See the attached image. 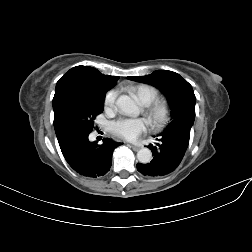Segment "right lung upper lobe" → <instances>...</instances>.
I'll return each mask as SVG.
<instances>
[{
    "instance_id": "right-lung-upper-lobe-1",
    "label": "right lung upper lobe",
    "mask_w": 252,
    "mask_h": 252,
    "mask_svg": "<svg viewBox=\"0 0 252 252\" xmlns=\"http://www.w3.org/2000/svg\"><path fill=\"white\" fill-rule=\"evenodd\" d=\"M119 77L101 74L97 69L88 66H76L65 73L57 82L53 102L64 90L73 88L81 91L107 92L113 88ZM60 140L64 135L58 133Z\"/></svg>"
}]
</instances>
